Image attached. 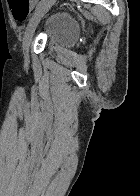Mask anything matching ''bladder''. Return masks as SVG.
Segmentation results:
<instances>
[{"label":"bladder","mask_w":140,"mask_h":196,"mask_svg":"<svg viewBox=\"0 0 140 196\" xmlns=\"http://www.w3.org/2000/svg\"><path fill=\"white\" fill-rule=\"evenodd\" d=\"M43 30L48 41L60 48H72L78 42L79 23L69 12L58 11L49 15Z\"/></svg>","instance_id":"bladder-1"}]
</instances>
